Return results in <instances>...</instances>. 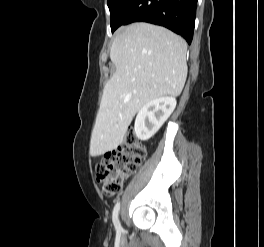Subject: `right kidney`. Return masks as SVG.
Wrapping results in <instances>:
<instances>
[{
	"label": "right kidney",
	"mask_w": 264,
	"mask_h": 247,
	"mask_svg": "<svg viewBox=\"0 0 264 247\" xmlns=\"http://www.w3.org/2000/svg\"><path fill=\"white\" fill-rule=\"evenodd\" d=\"M176 107L174 97H161L146 103L138 112L134 131L142 141L150 139L169 118Z\"/></svg>",
	"instance_id": "right-kidney-1"
}]
</instances>
